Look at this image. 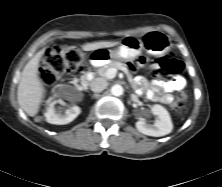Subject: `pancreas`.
Listing matches in <instances>:
<instances>
[{"instance_id": "1", "label": "pancreas", "mask_w": 222, "mask_h": 187, "mask_svg": "<svg viewBox=\"0 0 222 187\" xmlns=\"http://www.w3.org/2000/svg\"><path fill=\"white\" fill-rule=\"evenodd\" d=\"M123 67H124V65L121 62L113 61V62H110V63L104 65L103 67L99 68L97 70V73L99 76L107 79L106 73L110 68L122 69Z\"/></svg>"}]
</instances>
